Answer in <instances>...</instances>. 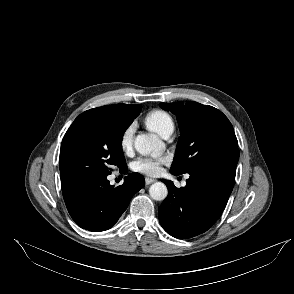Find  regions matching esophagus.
Returning <instances> with one entry per match:
<instances>
[{
	"mask_svg": "<svg viewBox=\"0 0 294 294\" xmlns=\"http://www.w3.org/2000/svg\"><path fill=\"white\" fill-rule=\"evenodd\" d=\"M156 180L153 179V178H149V177H146L145 178V183L146 185H150L151 183L155 182Z\"/></svg>",
	"mask_w": 294,
	"mask_h": 294,
	"instance_id": "1",
	"label": "esophagus"
}]
</instances>
